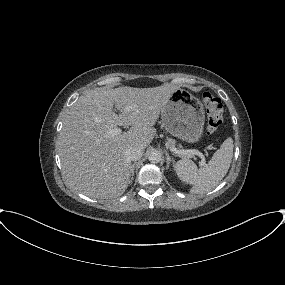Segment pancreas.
Here are the masks:
<instances>
[{"instance_id": "obj_1", "label": "pancreas", "mask_w": 285, "mask_h": 285, "mask_svg": "<svg viewBox=\"0 0 285 285\" xmlns=\"http://www.w3.org/2000/svg\"><path fill=\"white\" fill-rule=\"evenodd\" d=\"M168 143H169L172 147H175V141H174V140L169 139ZM178 150H180V151H185L184 149H181V146H179ZM178 156L181 157V158L188 159V158H190L191 155H190V154H182V153H180V154H178Z\"/></svg>"}]
</instances>
